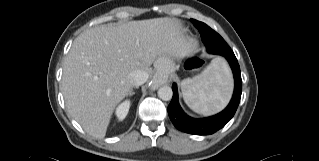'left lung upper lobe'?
<instances>
[{"label":"left lung upper lobe","instance_id":"5c2ea615","mask_svg":"<svg viewBox=\"0 0 319 161\" xmlns=\"http://www.w3.org/2000/svg\"><path fill=\"white\" fill-rule=\"evenodd\" d=\"M191 21L198 30V26L201 28L202 31L199 30V32L201 34L202 41L207 47V51L209 53L221 55L224 51L231 50L224 39L217 32L210 29L209 26L194 19H191ZM205 32H209L210 35L205 34Z\"/></svg>","mask_w":319,"mask_h":161}]
</instances>
